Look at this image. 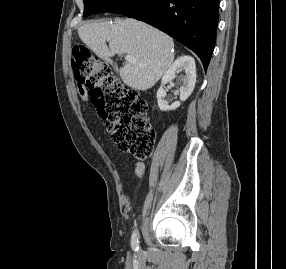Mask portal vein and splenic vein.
Returning a JSON list of instances; mask_svg holds the SVG:
<instances>
[{
  "label": "portal vein and splenic vein",
  "instance_id": "obj_1",
  "mask_svg": "<svg viewBox=\"0 0 286 269\" xmlns=\"http://www.w3.org/2000/svg\"><path fill=\"white\" fill-rule=\"evenodd\" d=\"M125 59L128 63H136V59L131 55H127Z\"/></svg>",
  "mask_w": 286,
  "mask_h": 269
}]
</instances>
